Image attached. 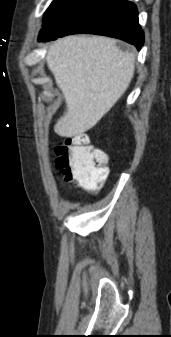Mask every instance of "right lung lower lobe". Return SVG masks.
Segmentation results:
<instances>
[{
	"mask_svg": "<svg viewBox=\"0 0 171 337\" xmlns=\"http://www.w3.org/2000/svg\"><path fill=\"white\" fill-rule=\"evenodd\" d=\"M138 11L127 0H73L67 8L43 26L39 41L68 34L93 33L122 39L141 49L144 34Z\"/></svg>",
	"mask_w": 171,
	"mask_h": 337,
	"instance_id": "obj_1",
	"label": "right lung lower lobe"
}]
</instances>
